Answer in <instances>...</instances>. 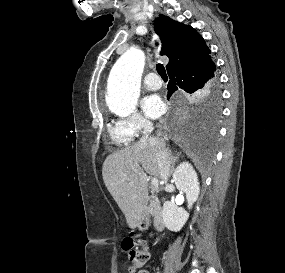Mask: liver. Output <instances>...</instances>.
<instances>
[{"instance_id": "1", "label": "liver", "mask_w": 285, "mask_h": 273, "mask_svg": "<svg viewBox=\"0 0 285 273\" xmlns=\"http://www.w3.org/2000/svg\"><path fill=\"white\" fill-rule=\"evenodd\" d=\"M146 173L160 177L157 147L149 142L139 141L127 146L110 154L103 163L105 186L124 213L130 228L137 226L147 201Z\"/></svg>"}]
</instances>
